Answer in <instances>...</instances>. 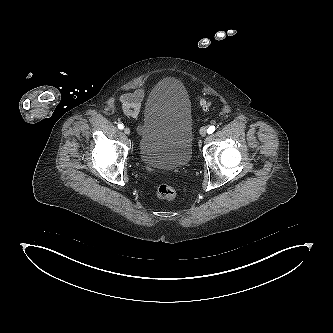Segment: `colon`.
I'll use <instances>...</instances> for the list:
<instances>
[{
    "instance_id": "obj_1",
    "label": "colon",
    "mask_w": 333,
    "mask_h": 333,
    "mask_svg": "<svg viewBox=\"0 0 333 333\" xmlns=\"http://www.w3.org/2000/svg\"><path fill=\"white\" fill-rule=\"evenodd\" d=\"M199 103L202 108L208 109L212 107V103L206 99L200 98ZM157 196L161 200L170 201L176 197L175 189L168 184H161L157 189Z\"/></svg>"
}]
</instances>
